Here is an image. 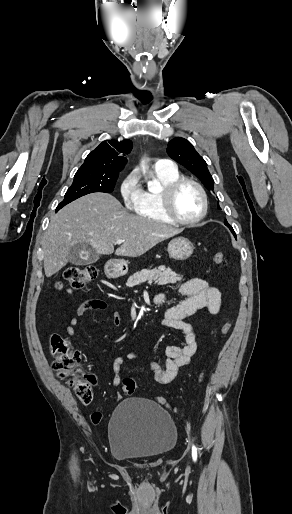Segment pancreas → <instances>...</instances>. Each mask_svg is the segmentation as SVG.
Returning a JSON list of instances; mask_svg holds the SVG:
<instances>
[{
    "label": "pancreas",
    "mask_w": 292,
    "mask_h": 514,
    "mask_svg": "<svg viewBox=\"0 0 292 514\" xmlns=\"http://www.w3.org/2000/svg\"><path fill=\"white\" fill-rule=\"evenodd\" d=\"M179 280H182V276L172 272L171 268L160 266V268H154V270H141V272H136V274L128 278L126 286L133 288V286H138V284H142V282H148V284L155 282L158 286H165V284H176Z\"/></svg>",
    "instance_id": "obj_1"
}]
</instances>
